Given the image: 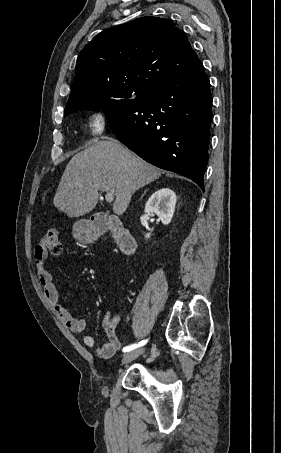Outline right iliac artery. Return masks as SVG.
I'll list each match as a JSON object with an SVG mask.
<instances>
[{
	"label": "right iliac artery",
	"instance_id": "82829eb1",
	"mask_svg": "<svg viewBox=\"0 0 281 453\" xmlns=\"http://www.w3.org/2000/svg\"><path fill=\"white\" fill-rule=\"evenodd\" d=\"M147 341L148 340H142L138 344H132L131 346L124 347L123 351L124 352H129L131 350H134V349H136L138 347H141V346L145 345L147 343Z\"/></svg>",
	"mask_w": 281,
	"mask_h": 453
}]
</instances>
